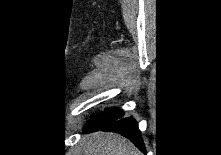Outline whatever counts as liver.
<instances>
[{
    "mask_svg": "<svg viewBox=\"0 0 221 155\" xmlns=\"http://www.w3.org/2000/svg\"><path fill=\"white\" fill-rule=\"evenodd\" d=\"M83 155H139L124 137L115 133L96 132L82 138Z\"/></svg>",
    "mask_w": 221,
    "mask_h": 155,
    "instance_id": "1",
    "label": "liver"
}]
</instances>
